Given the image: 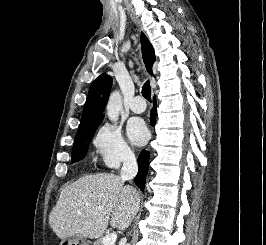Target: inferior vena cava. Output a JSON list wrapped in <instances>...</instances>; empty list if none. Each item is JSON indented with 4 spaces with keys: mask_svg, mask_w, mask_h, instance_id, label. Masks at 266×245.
I'll use <instances>...</instances> for the list:
<instances>
[{
    "mask_svg": "<svg viewBox=\"0 0 266 245\" xmlns=\"http://www.w3.org/2000/svg\"><path fill=\"white\" fill-rule=\"evenodd\" d=\"M137 173L138 165L134 153L124 155L123 167L120 173L122 181H131V179L136 177Z\"/></svg>",
    "mask_w": 266,
    "mask_h": 245,
    "instance_id": "602c4592",
    "label": "inferior vena cava"
}]
</instances>
